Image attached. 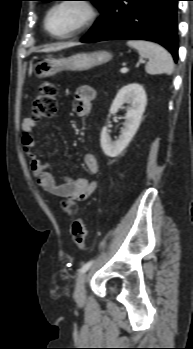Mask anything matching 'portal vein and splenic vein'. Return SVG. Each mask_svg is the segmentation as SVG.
<instances>
[{
	"mask_svg": "<svg viewBox=\"0 0 193 349\" xmlns=\"http://www.w3.org/2000/svg\"><path fill=\"white\" fill-rule=\"evenodd\" d=\"M127 71H128V69L126 67H123V68L120 69L121 73H126Z\"/></svg>",
	"mask_w": 193,
	"mask_h": 349,
	"instance_id": "obj_1",
	"label": "portal vein and splenic vein"
}]
</instances>
